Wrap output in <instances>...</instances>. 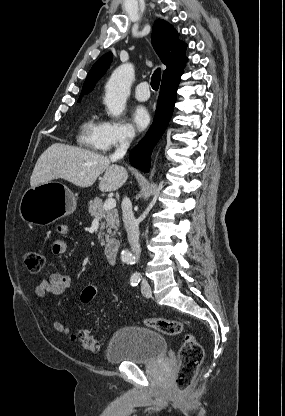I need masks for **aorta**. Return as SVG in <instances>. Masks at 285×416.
<instances>
[{"label": "aorta", "mask_w": 285, "mask_h": 416, "mask_svg": "<svg viewBox=\"0 0 285 416\" xmlns=\"http://www.w3.org/2000/svg\"><path fill=\"white\" fill-rule=\"evenodd\" d=\"M134 76L133 65L126 63L116 68L107 82L105 104L113 117H119L124 111ZM121 259L131 265L135 263V257L128 251L122 252Z\"/></svg>", "instance_id": "aorta-1"}]
</instances>
